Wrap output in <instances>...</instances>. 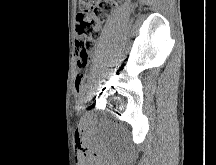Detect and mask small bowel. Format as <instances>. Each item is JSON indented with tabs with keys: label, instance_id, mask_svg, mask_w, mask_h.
<instances>
[{
	"label": "small bowel",
	"instance_id": "obj_1",
	"mask_svg": "<svg viewBox=\"0 0 216 165\" xmlns=\"http://www.w3.org/2000/svg\"><path fill=\"white\" fill-rule=\"evenodd\" d=\"M78 64V67L81 68V64L77 63ZM82 82H83V75L81 74H78L77 77H76V81H75V86H76V89L77 90H80L81 87H82Z\"/></svg>",
	"mask_w": 216,
	"mask_h": 165
}]
</instances>
